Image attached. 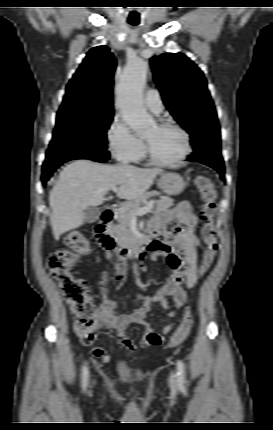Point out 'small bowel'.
I'll use <instances>...</instances> for the list:
<instances>
[{
	"label": "small bowel",
	"instance_id": "c3829d8e",
	"mask_svg": "<svg viewBox=\"0 0 273 430\" xmlns=\"http://www.w3.org/2000/svg\"><path fill=\"white\" fill-rule=\"evenodd\" d=\"M176 221V225L169 230L167 225ZM197 218L191 210L188 202H181L176 208L171 210L159 211L155 214L149 224V233L155 242L152 250L154 253L151 258L157 261L163 257L169 266L170 275L165 286L161 291L153 295L139 294L138 298L141 305L127 314H118V303L111 300L108 295V284L111 276L103 272L98 278L100 305L98 322L101 328L114 329L116 340L123 345L129 352L136 353L140 349L150 346L161 345L166 336L176 326L170 323L156 332L146 320V315L152 304H158L163 309H169L167 297H172L174 306L181 307L187 299V290L194 287L198 280V247L199 238L195 227ZM140 271H146V266L140 264ZM126 276V270L121 265H116L112 277L122 280ZM174 317V312L168 314ZM133 323L141 324L145 327V332L139 345L134 344L126 334V328ZM182 323L177 327L180 328ZM93 357L103 362H109L111 357L103 347H94L91 351Z\"/></svg>",
	"mask_w": 273,
	"mask_h": 430
}]
</instances>
